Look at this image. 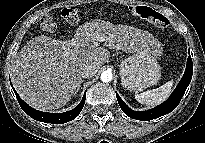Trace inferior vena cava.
<instances>
[{"label": "inferior vena cava", "instance_id": "inferior-vena-cava-1", "mask_svg": "<svg viewBox=\"0 0 205 143\" xmlns=\"http://www.w3.org/2000/svg\"><path fill=\"white\" fill-rule=\"evenodd\" d=\"M97 67L95 65H86L80 72L81 78H91L97 73Z\"/></svg>", "mask_w": 205, "mask_h": 143}]
</instances>
